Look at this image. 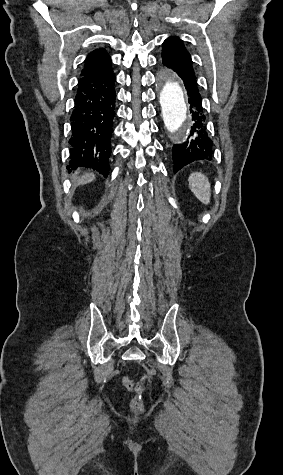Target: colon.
Here are the masks:
<instances>
[{
  "instance_id": "1",
  "label": "colon",
  "mask_w": 283,
  "mask_h": 475,
  "mask_svg": "<svg viewBox=\"0 0 283 475\" xmlns=\"http://www.w3.org/2000/svg\"><path fill=\"white\" fill-rule=\"evenodd\" d=\"M148 382V375L144 374L139 381H126L127 388L132 390L135 394L132 405L135 409H140L142 406V395L146 389Z\"/></svg>"
}]
</instances>
